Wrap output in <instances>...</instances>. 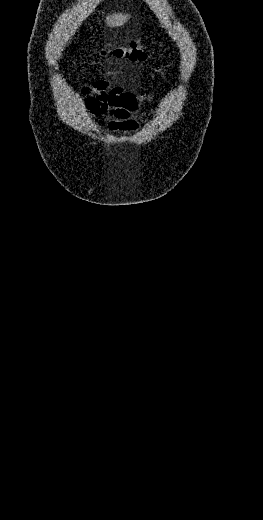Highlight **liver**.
<instances>
[{
    "label": "liver",
    "instance_id": "1",
    "mask_svg": "<svg viewBox=\"0 0 263 520\" xmlns=\"http://www.w3.org/2000/svg\"><path fill=\"white\" fill-rule=\"evenodd\" d=\"M130 18L129 14H123V13H114L112 15H108L106 17V24L109 27H119L122 26L124 23L128 21Z\"/></svg>",
    "mask_w": 263,
    "mask_h": 520
}]
</instances>
